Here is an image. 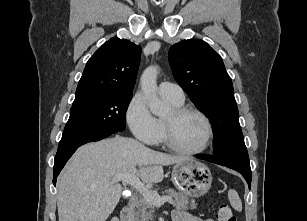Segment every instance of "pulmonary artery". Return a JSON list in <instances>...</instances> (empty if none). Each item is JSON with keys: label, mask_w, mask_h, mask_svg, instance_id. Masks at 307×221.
I'll use <instances>...</instances> for the list:
<instances>
[{"label": "pulmonary artery", "mask_w": 307, "mask_h": 221, "mask_svg": "<svg viewBox=\"0 0 307 221\" xmlns=\"http://www.w3.org/2000/svg\"><path fill=\"white\" fill-rule=\"evenodd\" d=\"M159 93L174 102L181 103L184 101V92L178 84L171 82H161L159 84Z\"/></svg>", "instance_id": "pulmonary-artery-1"}]
</instances>
